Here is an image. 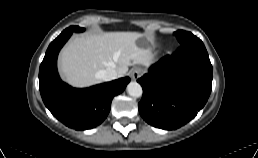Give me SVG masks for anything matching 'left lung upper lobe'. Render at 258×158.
<instances>
[{"label": "left lung upper lobe", "mask_w": 258, "mask_h": 158, "mask_svg": "<svg viewBox=\"0 0 258 158\" xmlns=\"http://www.w3.org/2000/svg\"><path fill=\"white\" fill-rule=\"evenodd\" d=\"M174 34L176 35L180 44L188 41L191 38L196 37L192 33L183 30L176 31Z\"/></svg>", "instance_id": "obj_1"}]
</instances>
